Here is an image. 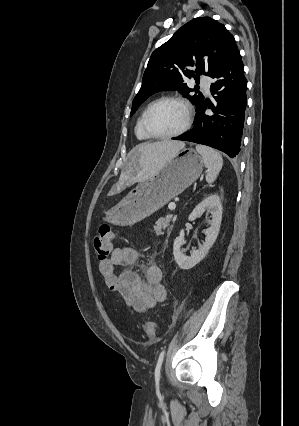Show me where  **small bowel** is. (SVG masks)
I'll use <instances>...</instances> for the list:
<instances>
[{"mask_svg": "<svg viewBox=\"0 0 299 426\" xmlns=\"http://www.w3.org/2000/svg\"><path fill=\"white\" fill-rule=\"evenodd\" d=\"M110 262L120 268L118 293L135 311L146 312L166 298L161 269L152 261L137 267L138 253L134 248H115Z\"/></svg>", "mask_w": 299, "mask_h": 426, "instance_id": "obj_1", "label": "small bowel"}]
</instances>
